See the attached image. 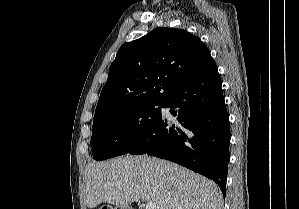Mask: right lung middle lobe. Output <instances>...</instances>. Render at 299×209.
Returning <instances> with one entry per match:
<instances>
[{"label": "right lung middle lobe", "instance_id": "1", "mask_svg": "<svg viewBox=\"0 0 299 209\" xmlns=\"http://www.w3.org/2000/svg\"><path fill=\"white\" fill-rule=\"evenodd\" d=\"M163 104L125 105L95 115L91 138L93 158L104 160L126 154L161 118Z\"/></svg>", "mask_w": 299, "mask_h": 209}]
</instances>
